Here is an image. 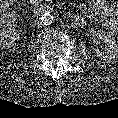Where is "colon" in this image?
I'll use <instances>...</instances> for the list:
<instances>
[{
    "label": "colon",
    "mask_w": 118,
    "mask_h": 118,
    "mask_svg": "<svg viewBox=\"0 0 118 118\" xmlns=\"http://www.w3.org/2000/svg\"><path fill=\"white\" fill-rule=\"evenodd\" d=\"M16 21V13L10 9L0 8V27L9 26Z\"/></svg>",
    "instance_id": "5ec220e1"
}]
</instances>
